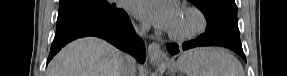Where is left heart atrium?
Masks as SVG:
<instances>
[{
    "label": "left heart atrium",
    "mask_w": 287,
    "mask_h": 76,
    "mask_svg": "<svg viewBox=\"0 0 287 76\" xmlns=\"http://www.w3.org/2000/svg\"><path fill=\"white\" fill-rule=\"evenodd\" d=\"M132 12L154 26L170 30L177 20L179 8L172 0H135Z\"/></svg>",
    "instance_id": "1"
}]
</instances>
